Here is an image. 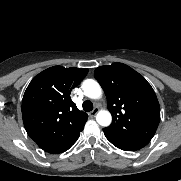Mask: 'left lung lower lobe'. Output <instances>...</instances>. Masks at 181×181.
I'll list each match as a JSON object with an SVG mask.
<instances>
[{"label": "left lung lower lobe", "mask_w": 181, "mask_h": 181, "mask_svg": "<svg viewBox=\"0 0 181 181\" xmlns=\"http://www.w3.org/2000/svg\"><path fill=\"white\" fill-rule=\"evenodd\" d=\"M114 146H116L117 148L124 150V151H137L143 147H145L147 144H143V143H137V142H131V141H127V142H121V141H117L115 139L106 137Z\"/></svg>", "instance_id": "1"}]
</instances>
